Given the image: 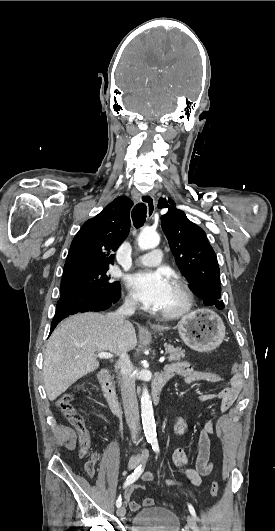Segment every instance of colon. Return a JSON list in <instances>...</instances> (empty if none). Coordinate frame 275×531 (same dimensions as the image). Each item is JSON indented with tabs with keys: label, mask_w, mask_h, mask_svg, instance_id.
I'll return each instance as SVG.
<instances>
[{
	"label": "colon",
	"mask_w": 275,
	"mask_h": 531,
	"mask_svg": "<svg viewBox=\"0 0 275 531\" xmlns=\"http://www.w3.org/2000/svg\"><path fill=\"white\" fill-rule=\"evenodd\" d=\"M240 370H241V363L234 362L232 364V371L239 372ZM83 389L84 387H80V388H77L76 391L79 392ZM56 407L65 416V418L72 424V426L76 429L80 437V444L82 446V452L83 454H85L86 451L89 450L90 445H91V435H90V430H89L88 424L86 422V419L83 413L72 405V397L70 395L61 396L56 402ZM83 470L87 476L91 477L93 475V471L90 465H86ZM132 486L140 487V491H143L145 489V486L143 484H132ZM218 490H219L218 482L216 480H213L210 485L211 496L215 497L218 493Z\"/></svg>",
	"instance_id": "obj_1"
}]
</instances>
